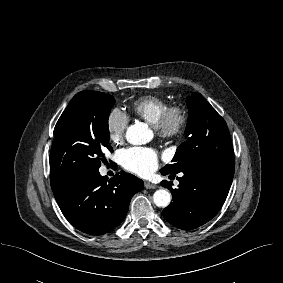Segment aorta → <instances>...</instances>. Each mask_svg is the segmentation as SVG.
Wrapping results in <instances>:
<instances>
[{
    "instance_id": "762f6f07",
    "label": "aorta",
    "mask_w": 283,
    "mask_h": 283,
    "mask_svg": "<svg viewBox=\"0 0 283 283\" xmlns=\"http://www.w3.org/2000/svg\"><path fill=\"white\" fill-rule=\"evenodd\" d=\"M152 132L145 123H135L128 127L126 139L133 145H141L149 142ZM153 201L158 207L165 208L171 202V194L165 189H159L153 194Z\"/></svg>"
}]
</instances>
